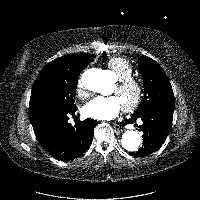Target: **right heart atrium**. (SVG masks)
<instances>
[{"label":"right heart atrium","instance_id":"obj_1","mask_svg":"<svg viewBox=\"0 0 200 200\" xmlns=\"http://www.w3.org/2000/svg\"><path fill=\"white\" fill-rule=\"evenodd\" d=\"M77 92L79 95L84 94V86L81 78H79L77 81Z\"/></svg>","mask_w":200,"mask_h":200}]
</instances>
